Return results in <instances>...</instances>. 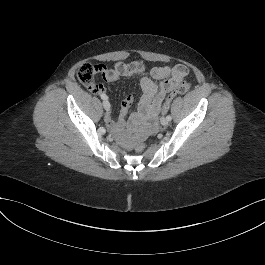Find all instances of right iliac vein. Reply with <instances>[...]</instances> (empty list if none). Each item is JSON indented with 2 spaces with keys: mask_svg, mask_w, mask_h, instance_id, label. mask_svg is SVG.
<instances>
[{
  "mask_svg": "<svg viewBox=\"0 0 265 265\" xmlns=\"http://www.w3.org/2000/svg\"><path fill=\"white\" fill-rule=\"evenodd\" d=\"M103 107L105 110H109L110 109V103L107 100L103 101Z\"/></svg>",
  "mask_w": 265,
  "mask_h": 265,
  "instance_id": "63e3f726",
  "label": "right iliac vein"
}]
</instances>
